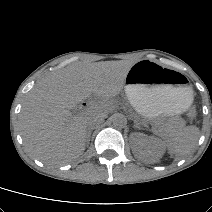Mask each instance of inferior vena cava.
<instances>
[{
    "mask_svg": "<svg viewBox=\"0 0 212 212\" xmlns=\"http://www.w3.org/2000/svg\"><path fill=\"white\" fill-rule=\"evenodd\" d=\"M104 122V116L97 113H92L86 118V125L88 128H95L96 126L102 124Z\"/></svg>",
    "mask_w": 212,
    "mask_h": 212,
    "instance_id": "602c4592",
    "label": "inferior vena cava"
}]
</instances>
